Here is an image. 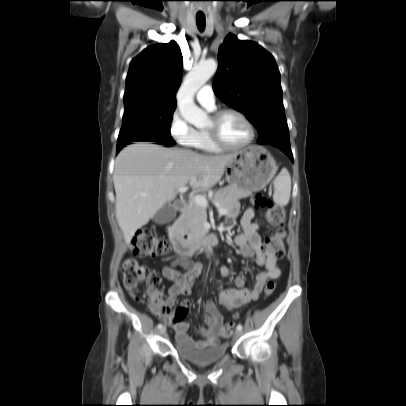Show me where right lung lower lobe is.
Returning <instances> with one entry per match:
<instances>
[{
  "label": "right lung lower lobe",
  "instance_id": "right-lung-lower-lobe-1",
  "mask_svg": "<svg viewBox=\"0 0 406 406\" xmlns=\"http://www.w3.org/2000/svg\"><path fill=\"white\" fill-rule=\"evenodd\" d=\"M162 145H166V147H171V144H162ZM123 148V147H122ZM122 148H117V153L122 149Z\"/></svg>",
  "mask_w": 406,
  "mask_h": 406
}]
</instances>
